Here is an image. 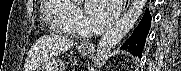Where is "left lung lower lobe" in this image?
Returning a JSON list of instances; mask_svg holds the SVG:
<instances>
[{"label": "left lung lower lobe", "mask_w": 181, "mask_h": 71, "mask_svg": "<svg viewBox=\"0 0 181 71\" xmlns=\"http://www.w3.org/2000/svg\"><path fill=\"white\" fill-rule=\"evenodd\" d=\"M151 15L147 9L137 28L133 31L131 37L122 45L132 53V55L141 57L145 45V39L150 29Z\"/></svg>", "instance_id": "0a47b994"}]
</instances>
